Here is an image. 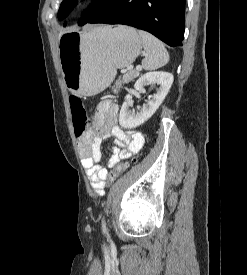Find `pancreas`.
Listing matches in <instances>:
<instances>
[{"instance_id":"obj_1","label":"pancreas","mask_w":247,"mask_h":275,"mask_svg":"<svg viewBox=\"0 0 247 275\" xmlns=\"http://www.w3.org/2000/svg\"><path fill=\"white\" fill-rule=\"evenodd\" d=\"M139 76V71L137 70H130L127 73L123 75L122 82L123 83H129L130 81L134 80Z\"/></svg>"}]
</instances>
